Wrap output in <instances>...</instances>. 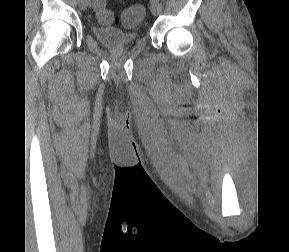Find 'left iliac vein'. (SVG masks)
Instances as JSON below:
<instances>
[{
	"label": "left iliac vein",
	"instance_id": "4c4485c4",
	"mask_svg": "<svg viewBox=\"0 0 289 252\" xmlns=\"http://www.w3.org/2000/svg\"><path fill=\"white\" fill-rule=\"evenodd\" d=\"M150 8H151V12L154 16L159 15L162 11V5L158 1L151 3Z\"/></svg>",
	"mask_w": 289,
	"mask_h": 252
}]
</instances>
